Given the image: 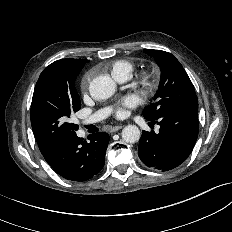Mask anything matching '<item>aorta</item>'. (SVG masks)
Returning a JSON list of instances; mask_svg holds the SVG:
<instances>
[{"label": "aorta", "mask_w": 232, "mask_h": 232, "mask_svg": "<svg viewBox=\"0 0 232 232\" xmlns=\"http://www.w3.org/2000/svg\"><path fill=\"white\" fill-rule=\"evenodd\" d=\"M90 95L95 99H108L116 91L114 80L105 75L94 78L89 85ZM122 139L127 143H135L140 139V130L135 125H127L122 130Z\"/></svg>", "instance_id": "aorta-1"}]
</instances>
